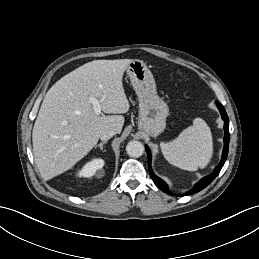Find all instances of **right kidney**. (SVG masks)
<instances>
[{
    "instance_id": "obj_1",
    "label": "right kidney",
    "mask_w": 259,
    "mask_h": 259,
    "mask_svg": "<svg viewBox=\"0 0 259 259\" xmlns=\"http://www.w3.org/2000/svg\"><path fill=\"white\" fill-rule=\"evenodd\" d=\"M104 166V160L93 159L83 166V168L78 172L79 177H92L97 170H100Z\"/></svg>"
}]
</instances>
